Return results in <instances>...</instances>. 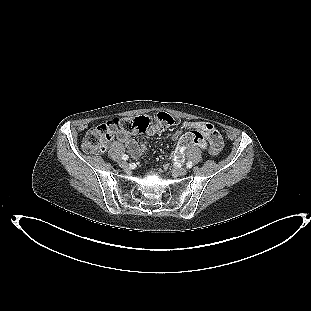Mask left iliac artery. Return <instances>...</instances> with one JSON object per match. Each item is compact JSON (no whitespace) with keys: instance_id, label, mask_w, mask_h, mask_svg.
Listing matches in <instances>:
<instances>
[{"instance_id":"44dca946","label":"left iliac artery","mask_w":311,"mask_h":311,"mask_svg":"<svg viewBox=\"0 0 311 311\" xmlns=\"http://www.w3.org/2000/svg\"><path fill=\"white\" fill-rule=\"evenodd\" d=\"M193 166L192 162H187L186 167L191 168Z\"/></svg>"}]
</instances>
